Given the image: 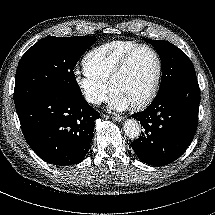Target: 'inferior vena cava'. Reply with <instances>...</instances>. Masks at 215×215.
Returning <instances> with one entry per match:
<instances>
[{
    "label": "inferior vena cava",
    "mask_w": 215,
    "mask_h": 215,
    "mask_svg": "<svg viewBox=\"0 0 215 215\" xmlns=\"http://www.w3.org/2000/svg\"><path fill=\"white\" fill-rule=\"evenodd\" d=\"M85 96H86V100L90 103H99L100 102V99L96 93L87 92L85 94Z\"/></svg>",
    "instance_id": "obj_1"
}]
</instances>
